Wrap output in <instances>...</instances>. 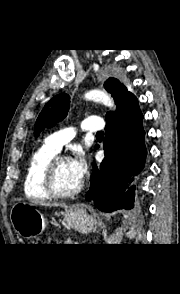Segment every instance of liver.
I'll return each instance as SVG.
<instances>
[{
    "label": "liver",
    "instance_id": "6515ba94",
    "mask_svg": "<svg viewBox=\"0 0 180 294\" xmlns=\"http://www.w3.org/2000/svg\"><path fill=\"white\" fill-rule=\"evenodd\" d=\"M40 205L42 206H48V207H58V206H61V207H66V205H60V204H57V203H45V202H40L39 203Z\"/></svg>",
    "mask_w": 180,
    "mask_h": 294
}]
</instances>
